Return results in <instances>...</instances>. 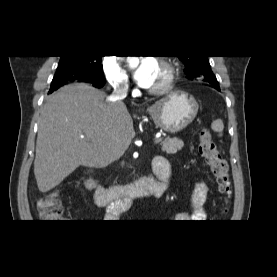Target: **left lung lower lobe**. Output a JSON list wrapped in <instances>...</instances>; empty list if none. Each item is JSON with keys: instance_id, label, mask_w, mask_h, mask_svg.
I'll use <instances>...</instances> for the list:
<instances>
[{"instance_id": "0a47b994", "label": "left lung lower lobe", "mask_w": 277, "mask_h": 277, "mask_svg": "<svg viewBox=\"0 0 277 277\" xmlns=\"http://www.w3.org/2000/svg\"><path fill=\"white\" fill-rule=\"evenodd\" d=\"M206 82L210 83L213 88H215L216 90L220 91V87H219V83L218 82H214V81H206Z\"/></svg>"}]
</instances>
